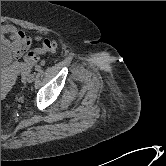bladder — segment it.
Listing matches in <instances>:
<instances>
[{
    "instance_id": "1",
    "label": "bladder",
    "mask_w": 166,
    "mask_h": 166,
    "mask_svg": "<svg viewBox=\"0 0 166 166\" xmlns=\"http://www.w3.org/2000/svg\"><path fill=\"white\" fill-rule=\"evenodd\" d=\"M13 53L10 47L1 44V70L8 68L13 63ZM4 97V93L1 90V98Z\"/></svg>"
}]
</instances>
